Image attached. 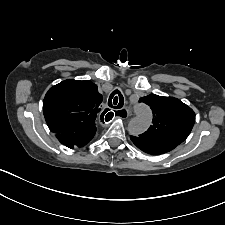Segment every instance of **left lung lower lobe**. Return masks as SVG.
Returning <instances> with one entry per match:
<instances>
[{
	"label": "left lung lower lobe",
	"mask_w": 225,
	"mask_h": 225,
	"mask_svg": "<svg viewBox=\"0 0 225 225\" xmlns=\"http://www.w3.org/2000/svg\"><path fill=\"white\" fill-rule=\"evenodd\" d=\"M132 142L140 150L151 155H160L173 150L177 145L172 143H160L130 136Z\"/></svg>",
	"instance_id": "0a47b994"
}]
</instances>
